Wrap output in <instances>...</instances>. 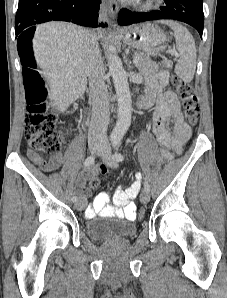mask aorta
<instances>
[{
	"mask_svg": "<svg viewBox=\"0 0 227 298\" xmlns=\"http://www.w3.org/2000/svg\"><path fill=\"white\" fill-rule=\"evenodd\" d=\"M108 67L109 73L113 79L118 102V118L116 126L112 131L111 138L114 140H121L131 123V94L127 73L123 68L121 59L117 55L109 53Z\"/></svg>",
	"mask_w": 227,
	"mask_h": 298,
	"instance_id": "aorta-1",
	"label": "aorta"
}]
</instances>
